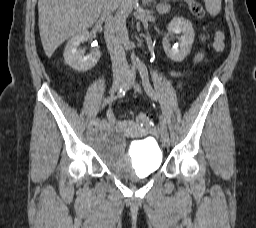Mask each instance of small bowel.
Masks as SVG:
<instances>
[{
    "mask_svg": "<svg viewBox=\"0 0 256 228\" xmlns=\"http://www.w3.org/2000/svg\"><path fill=\"white\" fill-rule=\"evenodd\" d=\"M161 10H162V11H166V7H165V6H162V7H161ZM201 40H202L203 42L206 41L205 35H203V34L201 35ZM203 55H204L203 50H200L199 52L196 53V55H195V57H194V60H195V61H200V60L203 58ZM171 75H172L173 77H180V76H182L183 74L180 73V72L172 71V72H171ZM107 115H108L109 120H110L112 123H117V120H116L114 114H113L111 111H109ZM155 131H156L155 129H151V132H155Z\"/></svg>",
    "mask_w": 256,
    "mask_h": 228,
    "instance_id": "small-bowel-1",
    "label": "small bowel"
}]
</instances>
